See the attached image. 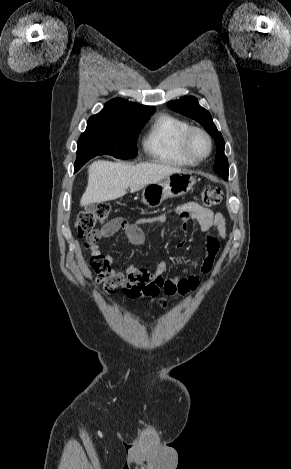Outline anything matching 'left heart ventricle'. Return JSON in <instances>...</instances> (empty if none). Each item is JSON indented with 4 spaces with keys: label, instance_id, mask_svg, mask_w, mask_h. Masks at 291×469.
Wrapping results in <instances>:
<instances>
[{
    "label": "left heart ventricle",
    "instance_id": "obj_1",
    "mask_svg": "<svg viewBox=\"0 0 291 469\" xmlns=\"http://www.w3.org/2000/svg\"><path fill=\"white\" fill-rule=\"evenodd\" d=\"M191 149L197 156H203L208 150V143L204 136L195 134L191 140Z\"/></svg>",
    "mask_w": 291,
    "mask_h": 469
}]
</instances>
